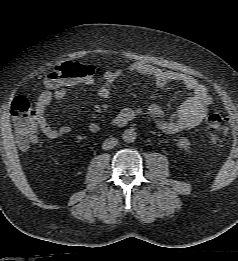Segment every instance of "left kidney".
I'll list each match as a JSON object with an SVG mask.
<instances>
[{"instance_id": "5707ae66", "label": "left kidney", "mask_w": 238, "mask_h": 261, "mask_svg": "<svg viewBox=\"0 0 238 261\" xmlns=\"http://www.w3.org/2000/svg\"><path fill=\"white\" fill-rule=\"evenodd\" d=\"M189 144H190L189 140L187 138H185V137H182L178 141V146L181 149H184V150H188Z\"/></svg>"}]
</instances>
